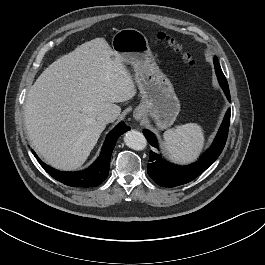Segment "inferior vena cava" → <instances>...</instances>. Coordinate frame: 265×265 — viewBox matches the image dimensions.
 I'll use <instances>...</instances> for the list:
<instances>
[{
	"label": "inferior vena cava",
	"instance_id": "obj_1",
	"mask_svg": "<svg viewBox=\"0 0 265 265\" xmlns=\"http://www.w3.org/2000/svg\"><path fill=\"white\" fill-rule=\"evenodd\" d=\"M116 119V116L112 114L111 112L104 111L98 116V120L108 124L110 122H113Z\"/></svg>",
	"mask_w": 265,
	"mask_h": 265
}]
</instances>
